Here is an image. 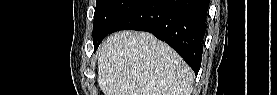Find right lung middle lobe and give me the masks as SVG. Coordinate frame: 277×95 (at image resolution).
Here are the masks:
<instances>
[{
    "label": "right lung middle lobe",
    "instance_id": "1",
    "mask_svg": "<svg viewBox=\"0 0 277 95\" xmlns=\"http://www.w3.org/2000/svg\"><path fill=\"white\" fill-rule=\"evenodd\" d=\"M144 0H96L93 25L94 51L104 37Z\"/></svg>",
    "mask_w": 277,
    "mask_h": 95
}]
</instances>
